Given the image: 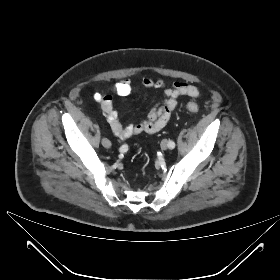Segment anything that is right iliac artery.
<instances>
[{"instance_id":"82829eb1","label":"right iliac artery","mask_w":280,"mask_h":280,"mask_svg":"<svg viewBox=\"0 0 280 280\" xmlns=\"http://www.w3.org/2000/svg\"><path fill=\"white\" fill-rule=\"evenodd\" d=\"M120 150H125V146L123 145V146L120 148Z\"/></svg>"}]
</instances>
